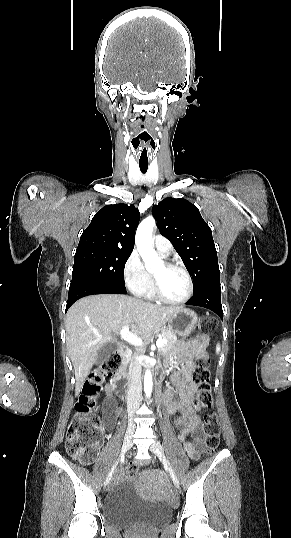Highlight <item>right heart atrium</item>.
<instances>
[{"label": "right heart atrium", "instance_id": "d8ad5b80", "mask_svg": "<svg viewBox=\"0 0 291 538\" xmlns=\"http://www.w3.org/2000/svg\"><path fill=\"white\" fill-rule=\"evenodd\" d=\"M122 275L126 287L136 296H144L151 285V276L136 251H132L124 262Z\"/></svg>", "mask_w": 291, "mask_h": 538}]
</instances>
